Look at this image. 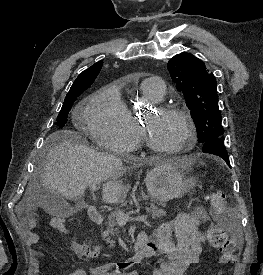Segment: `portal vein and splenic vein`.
Returning <instances> with one entry per match:
<instances>
[{"mask_svg": "<svg viewBox=\"0 0 263 275\" xmlns=\"http://www.w3.org/2000/svg\"><path fill=\"white\" fill-rule=\"evenodd\" d=\"M90 188V191L91 192H94L96 190V186L94 185H91L89 186ZM147 215H142V216H138V217H130L129 214H125L124 212H119L117 215H116V220L119 224H126L128 221H144L147 219Z\"/></svg>", "mask_w": 263, "mask_h": 275, "instance_id": "1", "label": "portal vein and splenic vein"}]
</instances>
